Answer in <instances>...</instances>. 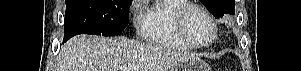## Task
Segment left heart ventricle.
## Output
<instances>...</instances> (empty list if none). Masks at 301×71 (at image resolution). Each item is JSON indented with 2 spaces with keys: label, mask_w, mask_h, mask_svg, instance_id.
I'll use <instances>...</instances> for the list:
<instances>
[{
  "label": "left heart ventricle",
  "mask_w": 301,
  "mask_h": 71,
  "mask_svg": "<svg viewBox=\"0 0 301 71\" xmlns=\"http://www.w3.org/2000/svg\"><path fill=\"white\" fill-rule=\"evenodd\" d=\"M188 29L192 38L201 44L210 42L214 35L210 21L197 10L192 11L189 15Z\"/></svg>",
  "instance_id": "1"
}]
</instances>
